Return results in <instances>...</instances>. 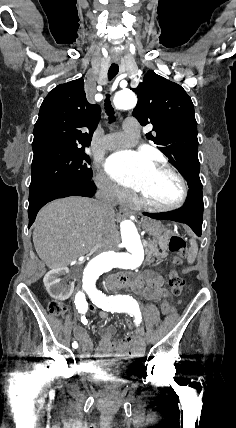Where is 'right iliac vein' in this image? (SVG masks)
I'll return each mask as SVG.
<instances>
[{"label":"right iliac vein","instance_id":"1","mask_svg":"<svg viewBox=\"0 0 236 428\" xmlns=\"http://www.w3.org/2000/svg\"><path fill=\"white\" fill-rule=\"evenodd\" d=\"M81 344H82V341H79V344H78L79 346H77L78 348L76 349L77 351L81 350V346H82Z\"/></svg>","mask_w":236,"mask_h":428}]
</instances>
